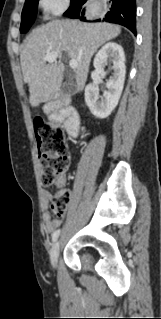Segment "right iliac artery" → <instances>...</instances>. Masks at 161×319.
<instances>
[{
  "mask_svg": "<svg viewBox=\"0 0 161 319\" xmlns=\"http://www.w3.org/2000/svg\"><path fill=\"white\" fill-rule=\"evenodd\" d=\"M60 234V229L56 230L53 234H52V241L55 242L58 238Z\"/></svg>",
  "mask_w": 161,
  "mask_h": 319,
  "instance_id": "right-iliac-artery-1",
  "label": "right iliac artery"
}]
</instances>
